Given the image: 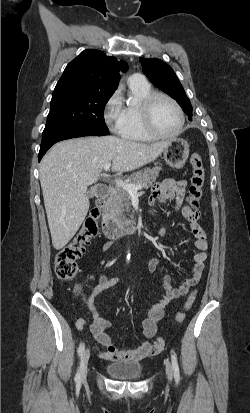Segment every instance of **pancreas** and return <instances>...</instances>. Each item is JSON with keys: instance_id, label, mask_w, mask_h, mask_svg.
Wrapping results in <instances>:
<instances>
[{"instance_id": "1", "label": "pancreas", "mask_w": 250, "mask_h": 413, "mask_svg": "<svg viewBox=\"0 0 250 413\" xmlns=\"http://www.w3.org/2000/svg\"><path fill=\"white\" fill-rule=\"evenodd\" d=\"M160 166H156L152 169L146 168L144 170L133 173L126 182L133 185H142L143 188H148L157 179ZM108 216L112 222L117 224L126 220V215L131 212V196L130 193L122 186L117 185L114 193L108 201Z\"/></svg>"}]
</instances>
